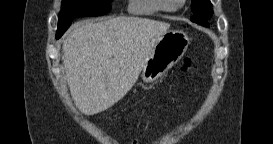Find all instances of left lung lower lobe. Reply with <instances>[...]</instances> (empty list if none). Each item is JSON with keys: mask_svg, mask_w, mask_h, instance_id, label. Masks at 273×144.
<instances>
[{"mask_svg": "<svg viewBox=\"0 0 273 144\" xmlns=\"http://www.w3.org/2000/svg\"><path fill=\"white\" fill-rule=\"evenodd\" d=\"M212 13H208L202 16L197 17L195 20H191L197 24L203 25V26H209L207 19L211 17Z\"/></svg>", "mask_w": 273, "mask_h": 144, "instance_id": "1", "label": "left lung lower lobe"}]
</instances>
